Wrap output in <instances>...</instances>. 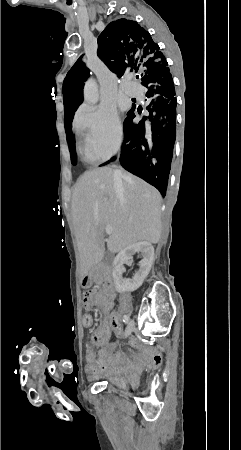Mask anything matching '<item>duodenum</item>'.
<instances>
[{
	"label": "duodenum",
	"instance_id": "410a0bca",
	"mask_svg": "<svg viewBox=\"0 0 241 450\" xmlns=\"http://www.w3.org/2000/svg\"><path fill=\"white\" fill-rule=\"evenodd\" d=\"M112 275L109 270H91L86 273L84 277V284L86 286L92 284H99L107 288H111Z\"/></svg>",
	"mask_w": 241,
	"mask_h": 450
}]
</instances>
